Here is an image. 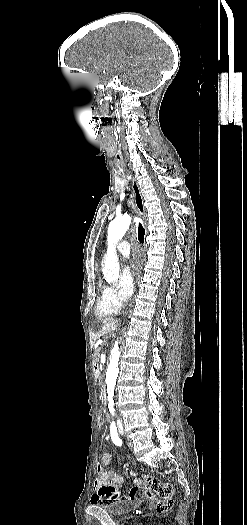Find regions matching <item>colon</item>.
<instances>
[{"label":"colon","instance_id":"obj_1","mask_svg":"<svg viewBox=\"0 0 247 525\" xmlns=\"http://www.w3.org/2000/svg\"><path fill=\"white\" fill-rule=\"evenodd\" d=\"M96 425L98 426V430H99L100 432H103V431L105 430V427H104V425H105V420H104L103 418H98V419L96 420Z\"/></svg>","mask_w":247,"mask_h":525}]
</instances>
